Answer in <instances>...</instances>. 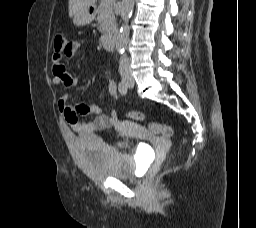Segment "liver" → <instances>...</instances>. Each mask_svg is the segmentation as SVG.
<instances>
[{
  "label": "liver",
  "instance_id": "1",
  "mask_svg": "<svg viewBox=\"0 0 256 228\" xmlns=\"http://www.w3.org/2000/svg\"><path fill=\"white\" fill-rule=\"evenodd\" d=\"M96 0H69V16L72 17L74 14L82 8L93 5Z\"/></svg>",
  "mask_w": 256,
  "mask_h": 228
}]
</instances>
